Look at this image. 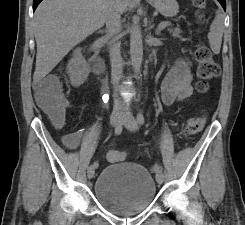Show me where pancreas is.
<instances>
[{
	"label": "pancreas",
	"mask_w": 245,
	"mask_h": 225,
	"mask_svg": "<svg viewBox=\"0 0 245 225\" xmlns=\"http://www.w3.org/2000/svg\"><path fill=\"white\" fill-rule=\"evenodd\" d=\"M169 33L172 34V36L174 37H180V34H181V29L180 28H170L168 29Z\"/></svg>",
	"instance_id": "cf45deb5"
}]
</instances>
